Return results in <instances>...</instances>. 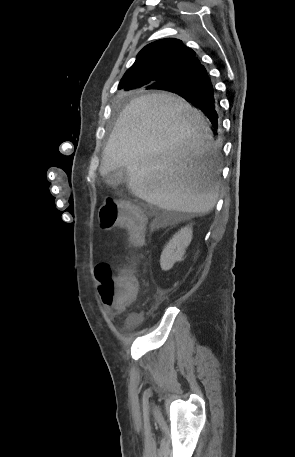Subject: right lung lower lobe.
Masks as SVG:
<instances>
[{
	"label": "right lung lower lobe",
	"instance_id": "1",
	"mask_svg": "<svg viewBox=\"0 0 295 457\" xmlns=\"http://www.w3.org/2000/svg\"><path fill=\"white\" fill-rule=\"evenodd\" d=\"M149 89L173 90L203 111L214 127L218 126V103L207 71L198 58L182 68L176 79L159 83Z\"/></svg>",
	"mask_w": 295,
	"mask_h": 457
}]
</instances>
